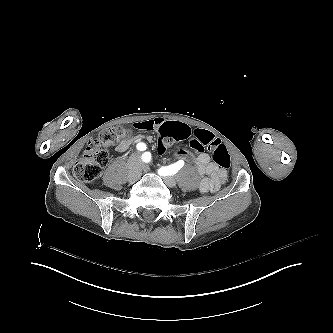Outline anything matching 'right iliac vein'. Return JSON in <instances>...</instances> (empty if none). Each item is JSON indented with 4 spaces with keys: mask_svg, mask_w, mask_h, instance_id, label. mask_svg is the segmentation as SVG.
<instances>
[{
    "mask_svg": "<svg viewBox=\"0 0 333 333\" xmlns=\"http://www.w3.org/2000/svg\"><path fill=\"white\" fill-rule=\"evenodd\" d=\"M128 180L130 182H135L140 178L141 169L138 163V159L136 156H132L128 161Z\"/></svg>",
    "mask_w": 333,
    "mask_h": 333,
    "instance_id": "63e3f726",
    "label": "right iliac vein"
}]
</instances>
